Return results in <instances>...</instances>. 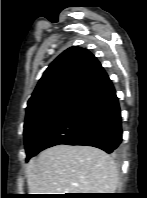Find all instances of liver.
Returning a JSON list of instances; mask_svg holds the SVG:
<instances>
[{
  "instance_id": "liver-1",
  "label": "liver",
  "mask_w": 147,
  "mask_h": 198,
  "mask_svg": "<svg viewBox=\"0 0 147 198\" xmlns=\"http://www.w3.org/2000/svg\"><path fill=\"white\" fill-rule=\"evenodd\" d=\"M29 194L114 193L118 170L104 151L91 146L56 145L26 167Z\"/></svg>"
}]
</instances>
